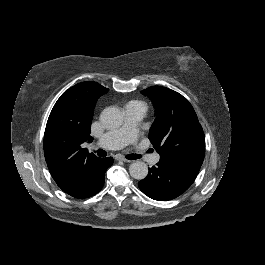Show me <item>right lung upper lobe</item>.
Instances as JSON below:
<instances>
[{
  "instance_id": "cb5924a9",
  "label": "right lung upper lobe",
  "mask_w": 265,
  "mask_h": 265,
  "mask_svg": "<svg viewBox=\"0 0 265 265\" xmlns=\"http://www.w3.org/2000/svg\"><path fill=\"white\" fill-rule=\"evenodd\" d=\"M108 89L83 82L64 92L55 103L44 134V155L56 184L67 192L90 182L103 158L87 153L81 144L91 142L90 127L95 104Z\"/></svg>"
}]
</instances>
